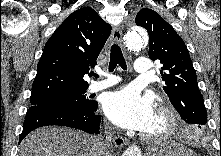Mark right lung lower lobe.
Masks as SVG:
<instances>
[{
    "label": "right lung lower lobe",
    "mask_w": 221,
    "mask_h": 156,
    "mask_svg": "<svg viewBox=\"0 0 221 156\" xmlns=\"http://www.w3.org/2000/svg\"><path fill=\"white\" fill-rule=\"evenodd\" d=\"M98 103L91 109H65L31 106L26 114L19 142L32 130L49 125H61L80 129L89 134L100 133V115L96 114Z\"/></svg>",
    "instance_id": "obj_1"
}]
</instances>
